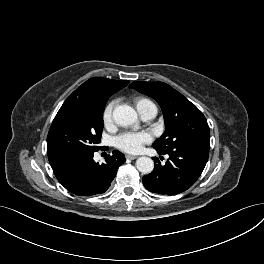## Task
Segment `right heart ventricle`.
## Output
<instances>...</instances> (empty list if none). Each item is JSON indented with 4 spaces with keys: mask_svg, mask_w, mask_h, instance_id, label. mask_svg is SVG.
<instances>
[{
    "mask_svg": "<svg viewBox=\"0 0 264 264\" xmlns=\"http://www.w3.org/2000/svg\"><path fill=\"white\" fill-rule=\"evenodd\" d=\"M134 102L139 113L143 112L147 107L154 105L151 100L145 97H136Z\"/></svg>",
    "mask_w": 264,
    "mask_h": 264,
    "instance_id": "obj_1",
    "label": "right heart ventricle"
}]
</instances>
